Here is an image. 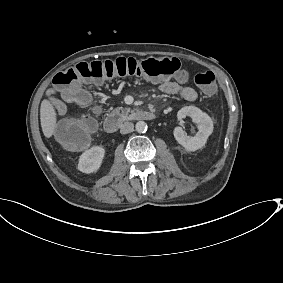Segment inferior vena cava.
<instances>
[{"label": "inferior vena cava", "mask_w": 283, "mask_h": 283, "mask_svg": "<svg viewBox=\"0 0 283 283\" xmlns=\"http://www.w3.org/2000/svg\"><path fill=\"white\" fill-rule=\"evenodd\" d=\"M134 125L131 122H125L120 126V133L127 134L133 131Z\"/></svg>", "instance_id": "inferior-vena-cava-1"}]
</instances>
